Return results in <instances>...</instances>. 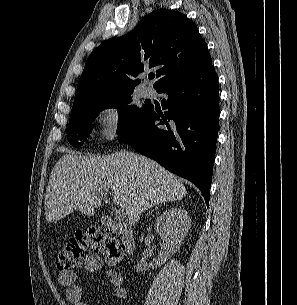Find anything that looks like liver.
<instances>
[{
  "label": "liver",
  "instance_id": "6515ba94",
  "mask_svg": "<svg viewBox=\"0 0 297 305\" xmlns=\"http://www.w3.org/2000/svg\"><path fill=\"white\" fill-rule=\"evenodd\" d=\"M111 189L130 225L141 213L186 194L182 180L144 156L118 152L108 156L63 155L52 169L45 197L47 222H55L73 210L93 216L102 196Z\"/></svg>",
  "mask_w": 297,
  "mask_h": 305
}]
</instances>
